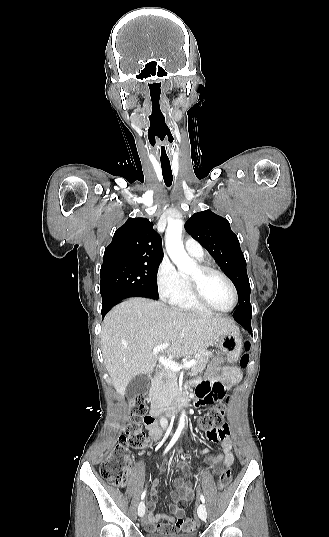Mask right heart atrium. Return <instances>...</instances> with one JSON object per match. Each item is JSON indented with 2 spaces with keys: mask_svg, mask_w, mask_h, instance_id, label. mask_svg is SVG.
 Instances as JSON below:
<instances>
[{
  "mask_svg": "<svg viewBox=\"0 0 329 537\" xmlns=\"http://www.w3.org/2000/svg\"><path fill=\"white\" fill-rule=\"evenodd\" d=\"M185 280L168 258H163L156 271V287L160 297L172 302L185 288Z\"/></svg>",
  "mask_w": 329,
  "mask_h": 537,
  "instance_id": "1",
  "label": "right heart atrium"
}]
</instances>
